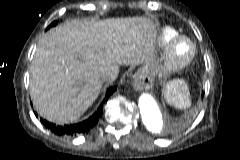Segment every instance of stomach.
I'll use <instances>...</instances> for the list:
<instances>
[{"label": "stomach", "mask_w": 240, "mask_h": 160, "mask_svg": "<svg viewBox=\"0 0 240 160\" xmlns=\"http://www.w3.org/2000/svg\"><path fill=\"white\" fill-rule=\"evenodd\" d=\"M145 69L150 73V74H154L155 71L157 70V66L154 62H151L149 64L146 65Z\"/></svg>", "instance_id": "obj_1"}]
</instances>
